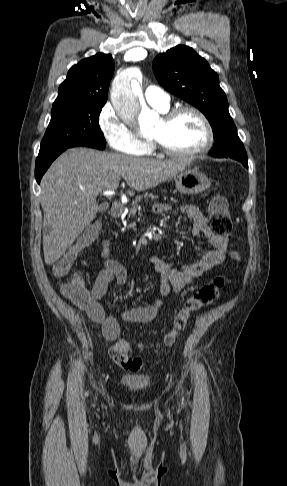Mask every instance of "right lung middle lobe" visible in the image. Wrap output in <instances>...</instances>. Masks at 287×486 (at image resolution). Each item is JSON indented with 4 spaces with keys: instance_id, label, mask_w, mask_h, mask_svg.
<instances>
[{
    "instance_id": "obj_1",
    "label": "right lung middle lobe",
    "mask_w": 287,
    "mask_h": 486,
    "mask_svg": "<svg viewBox=\"0 0 287 486\" xmlns=\"http://www.w3.org/2000/svg\"><path fill=\"white\" fill-rule=\"evenodd\" d=\"M105 103L84 101L53 106L51 121L42 139L38 156L76 146L103 150L106 141L98 119Z\"/></svg>"
}]
</instances>
